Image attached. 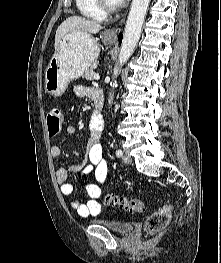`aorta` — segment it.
I'll return each mask as SVG.
<instances>
[{
  "instance_id": "aorta-1",
  "label": "aorta",
  "mask_w": 221,
  "mask_h": 263,
  "mask_svg": "<svg viewBox=\"0 0 221 263\" xmlns=\"http://www.w3.org/2000/svg\"><path fill=\"white\" fill-rule=\"evenodd\" d=\"M150 0H133L131 9L126 21L123 40L119 53L118 63L114 67L113 77H117L119 66L125 63L133 54L134 49L140 39L142 26L147 13ZM111 86L116 85V81L110 83ZM113 101V93H110L108 103L111 105Z\"/></svg>"
}]
</instances>
